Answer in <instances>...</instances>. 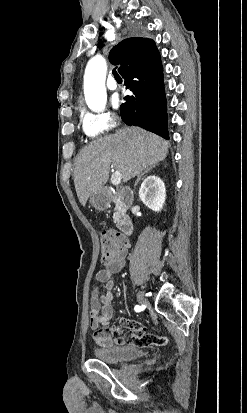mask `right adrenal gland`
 Returning <instances> with one entry per match:
<instances>
[{
	"label": "right adrenal gland",
	"mask_w": 247,
	"mask_h": 413,
	"mask_svg": "<svg viewBox=\"0 0 247 413\" xmlns=\"http://www.w3.org/2000/svg\"><path fill=\"white\" fill-rule=\"evenodd\" d=\"M154 166H156V164H150V166H146V168H144V170H142V172H140V174H138V178H137V180H135L134 186H136L137 182H139L142 174H145V172H150V170H152V168H154Z\"/></svg>",
	"instance_id": "obj_1"
}]
</instances>
